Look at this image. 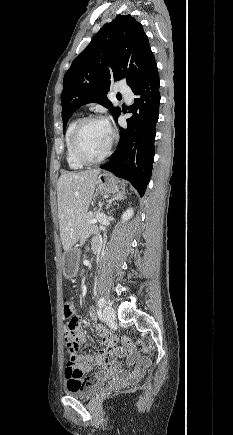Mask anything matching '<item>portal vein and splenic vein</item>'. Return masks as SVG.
Segmentation results:
<instances>
[{"instance_id":"portal-vein-and-splenic-vein-1","label":"portal vein and splenic vein","mask_w":233,"mask_h":435,"mask_svg":"<svg viewBox=\"0 0 233 435\" xmlns=\"http://www.w3.org/2000/svg\"><path fill=\"white\" fill-rule=\"evenodd\" d=\"M97 222V219L96 218H93V219H91V220H89V224H94V223H96Z\"/></svg>"}]
</instances>
